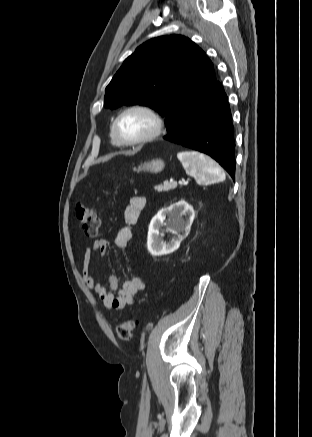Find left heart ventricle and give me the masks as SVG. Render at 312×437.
<instances>
[{
  "instance_id": "obj_1",
  "label": "left heart ventricle",
  "mask_w": 312,
  "mask_h": 437,
  "mask_svg": "<svg viewBox=\"0 0 312 437\" xmlns=\"http://www.w3.org/2000/svg\"><path fill=\"white\" fill-rule=\"evenodd\" d=\"M119 128L127 140H136L148 135L153 130L154 121L144 112L132 111L122 117Z\"/></svg>"
}]
</instances>
